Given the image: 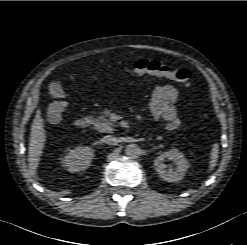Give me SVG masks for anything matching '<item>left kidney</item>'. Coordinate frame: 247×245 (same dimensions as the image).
<instances>
[{
	"label": "left kidney",
	"mask_w": 247,
	"mask_h": 245,
	"mask_svg": "<svg viewBox=\"0 0 247 245\" xmlns=\"http://www.w3.org/2000/svg\"><path fill=\"white\" fill-rule=\"evenodd\" d=\"M168 160L175 163V168L167 167L165 162ZM154 166L162 179L168 182H178L184 178L185 173L189 168V162L182 152L173 148L156 157Z\"/></svg>",
	"instance_id": "left-kidney-1"
}]
</instances>
